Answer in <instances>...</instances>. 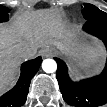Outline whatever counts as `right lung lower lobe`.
<instances>
[{
	"mask_svg": "<svg viewBox=\"0 0 107 107\" xmlns=\"http://www.w3.org/2000/svg\"><path fill=\"white\" fill-rule=\"evenodd\" d=\"M41 62V57H37L22 64L17 84L12 90L0 97V107H19L26 102L30 81L37 73Z\"/></svg>",
	"mask_w": 107,
	"mask_h": 107,
	"instance_id": "1",
	"label": "right lung lower lobe"
}]
</instances>
